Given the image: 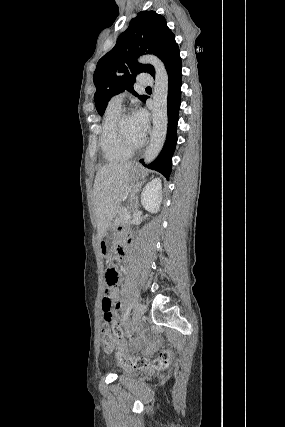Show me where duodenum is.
Here are the masks:
<instances>
[{"label":"duodenum","instance_id":"duodenum-1","mask_svg":"<svg viewBox=\"0 0 285 427\" xmlns=\"http://www.w3.org/2000/svg\"><path fill=\"white\" fill-rule=\"evenodd\" d=\"M129 249H130L129 245L126 241L121 243V245L119 246V251H120L121 255H124L126 252L129 251Z\"/></svg>","mask_w":285,"mask_h":427}]
</instances>
